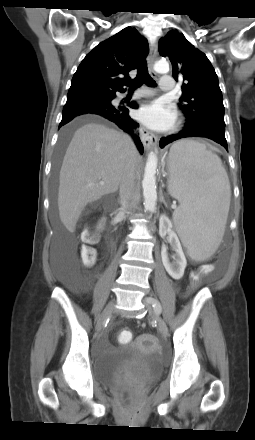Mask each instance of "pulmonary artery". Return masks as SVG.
Masks as SVG:
<instances>
[{
  "label": "pulmonary artery",
  "mask_w": 255,
  "mask_h": 440,
  "mask_svg": "<svg viewBox=\"0 0 255 440\" xmlns=\"http://www.w3.org/2000/svg\"><path fill=\"white\" fill-rule=\"evenodd\" d=\"M174 88L173 77L170 75H163L160 79V89L165 92H170ZM152 92L149 89L141 90L134 94V97H143L151 95Z\"/></svg>",
  "instance_id": "obj_1"
}]
</instances>
